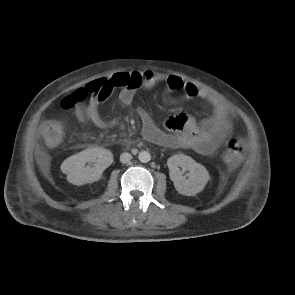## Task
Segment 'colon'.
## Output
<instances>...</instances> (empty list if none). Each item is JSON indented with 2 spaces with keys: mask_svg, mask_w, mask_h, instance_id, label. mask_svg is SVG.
<instances>
[{
  "mask_svg": "<svg viewBox=\"0 0 295 295\" xmlns=\"http://www.w3.org/2000/svg\"><path fill=\"white\" fill-rule=\"evenodd\" d=\"M139 83L137 75L130 73H118L110 78L98 81L93 88L81 87L68 95L63 100L65 108H73L80 102L87 100L93 92L111 93L114 89H124L136 86ZM41 136L44 142L50 146H57L63 138V128L58 121L49 120L40 127ZM244 144L237 137L229 138L226 142L224 157L227 163L235 165L239 163L244 156Z\"/></svg>",
  "mask_w": 295,
  "mask_h": 295,
  "instance_id": "1",
  "label": "colon"
}]
</instances>
